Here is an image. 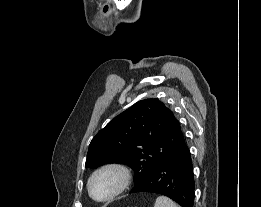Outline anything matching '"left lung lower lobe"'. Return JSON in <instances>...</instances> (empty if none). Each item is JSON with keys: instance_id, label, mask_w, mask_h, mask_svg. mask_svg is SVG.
Here are the masks:
<instances>
[{"instance_id": "obj_1", "label": "left lung lower lobe", "mask_w": 261, "mask_h": 207, "mask_svg": "<svg viewBox=\"0 0 261 207\" xmlns=\"http://www.w3.org/2000/svg\"><path fill=\"white\" fill-rule=\"evenodd\" d=\"M194 189L191 153L184 139L178 151L137 183L130 193H157L171 198L182 207H193Z\"/></svg>"}]
</instances>
